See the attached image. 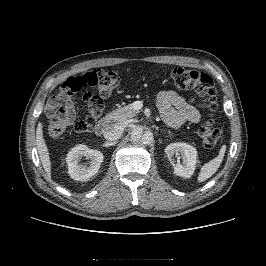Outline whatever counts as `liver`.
Segmentation results:
<instances>
[{"label": "liver", "mask_w": 266, "mask_h": 266, "mask_svg": "<svg viewBox=\"0 0 266 266\" xmlns=\"http://www.w3.org/2000/svg\"><path fill=\"white\" fill-rule=\"evenodd\" d=\"M36 145L41 160L42 166L49 177L51 178V161L49 156L48 147L46 145L44 135H43V125L41 122L38 123L36 130Z\"/></svg>", "instance_id": "obj_1"}]
</instances>
